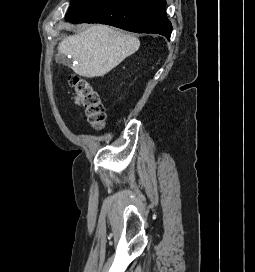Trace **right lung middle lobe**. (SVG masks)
I'll list each match as a JSON object with an SVG mask.
<instances>
[{"mask_svg": "<svg viewBox=\"0 0 255 272\" xmlns=\"http://www.w3.org/2000/svg\"><path fill=\"white\" fill-rule=\"evenodd\" d=\"M90 0H73L69 12L66 14V19L72 16L79 8H81L84 4L89 2Z\"/></svg>", "mask_w": 255, "mask_h": 272, "instance_id": "right-lung-middle-lobe-1", "label": "right lung middle lobe"}]
</instances>
